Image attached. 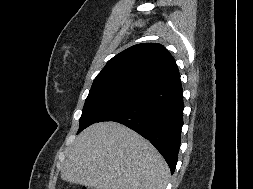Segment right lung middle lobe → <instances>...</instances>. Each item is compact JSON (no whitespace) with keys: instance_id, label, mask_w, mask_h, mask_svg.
Here are the masks:
<instances>
[{"instance_id":"right-lung-middle-lobe-1","label":"right lung middle lobe","mask_w":253,"mask_h":189,"mask_svg":"<svg viewBox=\"0 0 253 189\" xmlns=\"http://www.w3.org/2000/svg\"><path fill=\"white\" fill-rule=\"evenodd\" d=\"M147 92L128 86H109L90 90L83 107L78 133L104 116L134 103Z\"/></svg>"}]
</instances>
